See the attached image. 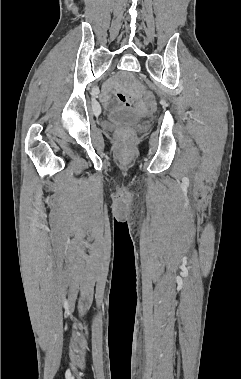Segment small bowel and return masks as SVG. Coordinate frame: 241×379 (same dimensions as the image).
<instances>
[{"mask_svg": "<svg viewBox=\"0 0 241 379\" xmlns=\"http://www.w3.org/2000/svg\"><path fill=\"white\" fill-rule=\"evenodd\" d=\"M115 88V84L113 82H108L103 87V90L100 95V100L102 103L106 104L109 101L110 94L112 90ZM94 107L98 108L99 105L97 103L94 104Z\"/></svg>", "mask_w": 241, "mask_h": 379, "instance_id": "obj_1", "label": "small bowel"}]
</instances>
